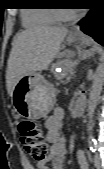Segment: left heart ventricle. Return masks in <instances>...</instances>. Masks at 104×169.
Wrapping results in <instances>:
<instances>
[{
  "label": "left heart ventricle",
  "mask_w": 104,
  "mask_h": 169,
  "mask_svg": "<svg viewBox=\"0 0 104 169\" xmlns=\"http://www.w3.org/2000/svg\"><path fill=\"white\" fill-rule=\"evenodd\" d=\"M63 11H64V13H66V14H71V13L74 12V10H69V9H64Z\"/></svg>",
  "instance_id": "left-heart-ventricle-1"
}]
</instances>
